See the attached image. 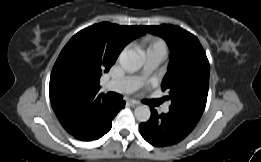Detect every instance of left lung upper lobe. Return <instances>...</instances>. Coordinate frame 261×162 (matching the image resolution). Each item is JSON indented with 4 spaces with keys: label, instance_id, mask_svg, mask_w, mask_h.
Returning a JSON list of instances; mask_svg holds the SVG:
<instances>
[{
    "label": "left lung upper lobe",
    "instance_id": "obj_1",
    "mask_svg": "<svg viewBox=\"0 0 261 162\" xmlns=\"http://www.w3.org/2000/svg\"><path fill=\"white\" fill-rule=\"evenodd\" d=\"M144 32L162 37L171 55L162 89L169 91L170 110L185 112L199 120L205 109L209 87V61L199 40L174 25L142 26Z\"/></svg>",
    "mask_w": 261,
    "mask_h": 162
}]
</instances>
